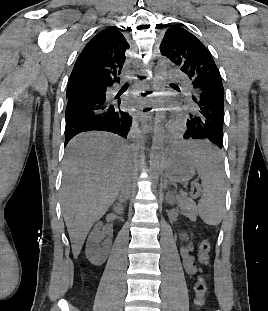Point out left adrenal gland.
I'll list each match as a JSON object with an SVG mask.
<instances>
[{"label":"left adrenal gland","instance_id":"left-adrenal-gland-1","mask_svg":"<svg viewBox=\"0 0 268 311\" xmlns=\"http://www.w3.org/2000/svg\"><path fill=\"white\" fill-rule=\"evenodd\" d=\"M167 184H168V180H167V179H165V180H164V185H163V188H164V189H166V188H167Z\"/></svg>","mask_w":268,"mask_h":311}]
</instances>
